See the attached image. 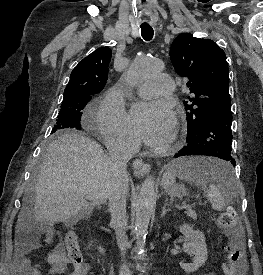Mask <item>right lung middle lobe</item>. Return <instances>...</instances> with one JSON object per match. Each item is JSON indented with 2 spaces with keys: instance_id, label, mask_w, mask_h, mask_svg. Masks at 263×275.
Segmentation results:
<instances>
[{
  "instance_id": "1",
  "label": "right lung middle lobe",
  "mask_w": 263,
  "mask_h": 275,
  "mask_svg": "<svg viewBox=\"0 0 263 275\" xmlns=\"http://www.w3.org/2000/svg\"><path fill=\"white\" fill-rule=\"evenodd\" d=\"M91 100V95H75L64 98L58 119L51 134L61 132L64 129H81V110Z\"/></svg>"
}]
</instances>
